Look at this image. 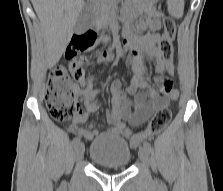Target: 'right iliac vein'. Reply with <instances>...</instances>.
<instances>
[{
  "instance_id": "right-iliac-vein-1",
  "label": "right iliac vein",
  "mask_w": 223,
  "mask_h": 191,
  "mask_svg": "<svg viewBox=\"0 0 223 191\" xmlns=\"http://www.w3.org/2000/svg\"><path fill=\"white\" fill-rule=\"evenodd\" d=\"M84 144L82 142H78L74 149V158L75 160H80L84 155Z\"/></svg>"
}]
</instances>
